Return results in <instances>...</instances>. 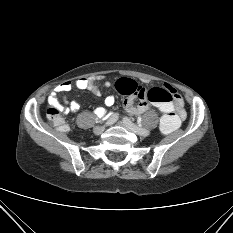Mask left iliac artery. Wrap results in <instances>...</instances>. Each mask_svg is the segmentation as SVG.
<instances>
[{
    "label": "left iliac artery",
    "instance_id": "obj_1",
    "mask_svg": "<svg viewBox=\"0 0 233 233\" xmlns=\"http://www.w3.org/2000/svg\"><path fill=\"white\" fill-rule=\"evenodd\" d=\"M125 124L134 129L135 131L145 135H149L150 131L148 129H142L141 127L136 126L135 123H132L127 117L123 118Z\"/></svg>",
    "mask_w": 233,
    "mask_h": 233
}]
</instances>
